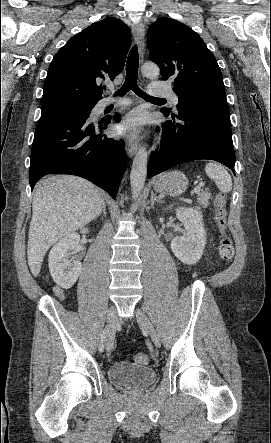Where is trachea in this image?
<instances>
[{"label":"trachea","mask_w":271,"mask_h":443,"mask_svg":"<svg viewBox=\"0 0 271 443\" xmlns=\"http://www.w3.org/2000/svg\"><path fill=\"white\" fill-rule=\"evenodd\" d=\"M139 67V55L137 47L134 46L128 56L126 62V78L123 86L116 92V95L123 96L129 90H133L136 95L144 98L148 101H166L165 98L150 97L147 93L143 92L137 85V75Z\"/></svg>","instance_id":"trachea-1"}]
</instances>
